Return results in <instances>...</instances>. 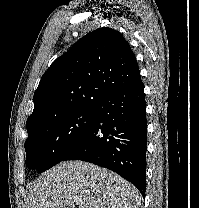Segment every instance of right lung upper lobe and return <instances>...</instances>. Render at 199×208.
I'll use <instances>...</instances> for the list:
<instances>
[{"mask_svg": "<svg viewBox=\"0 0 199 208\" xmlns=\"http://www.w3.org/2000/svg\"><path fill=\"white\" fill-rule=\"evenodd\" d=\"M140 77L134 53L111 28L94 30L55 60L34 93L27 132L66 112L95 107L109 94Z\"/></svg>", "mask_w": 199, "mask_h": 208, "instance_id": "1", "label": "right lung upper lobe"}]
</instances>
